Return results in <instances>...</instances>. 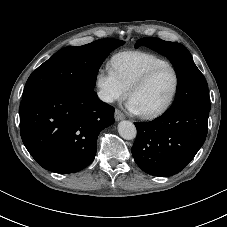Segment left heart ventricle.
I'll return each mask as SVG.
<instances>
[{"label":"left heart ventricle","instance_id":"left-heart-ventricle-1","mask_svg":"<svg viewBox=\"0 0 227 227\" xmlns=\"http://www.w3.org/2000/svg\"><path fill=\"white\" fill-rule=\"evenodd\" d=\"M175 77L170 69L158 72L144 87L135 91L130 100L139 112H149L160 108L170 97Z\"/></svg>","mask_w":227,"mask_h":227}]
</instances>
